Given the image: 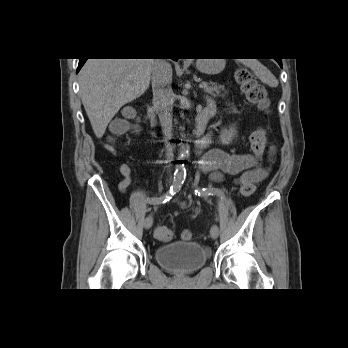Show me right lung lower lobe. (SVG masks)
<instances>
[{
    "instance_id": "1",
    "label": "right lung lower lobe",
    "mask_w": 348,
    "mask_h": 348,
    "mask_svg": "<svg viewBox=\"0 0 348 348\" xmlns=\"http://www.w3.org/2000/svg\"><path fill=\"white\" fill-rule=\"evenodd\" d=\"M87 59H79V64H78V68H77V73L79 72V70L81 69V67L84 65V63L86 62ZM177 60V59H174Z\"/></svg>"
}]
</instances>
